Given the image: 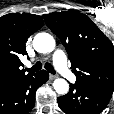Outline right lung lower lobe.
Segmentation results:
<instances>
[{"label": "right lung lower lobe", "mask_w": 114, "mask_h": 114, "mask_svg": "<svg viewBox=\"0 0 114 114\" xmlns=\"http://www.w3.org/2000/svg\"><path fill=\"white\" fill-rule=\"evenodd\" d=\"M49 79L42 70L0 88V114H27L35 104V92Z\"/></svg>", "instance_id": "obj_1"}]
</instances>
